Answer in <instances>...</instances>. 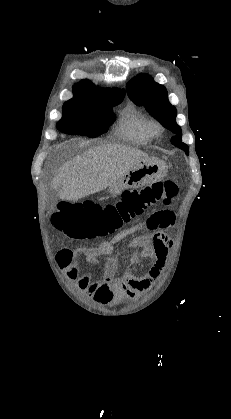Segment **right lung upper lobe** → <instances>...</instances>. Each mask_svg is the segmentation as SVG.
Instances as JSON below:
<instances>
[{
  "mask_svg": "<svg viewBox=\"0 0 231 419\" xmlns=\"http://www.w3.org/2000/svg\"><path fill=\"white\" fill-rule=\"evenodd\" d=\"M74 97L68 102H105L124 98V89H99L88 80L73 87Z\"/></svg>",
  "mask_w": 231,
  "mask_h": 419,
  "instance_id": "cb5924a9",
  "label": "right lung upper lobe"
}]
</instances>
